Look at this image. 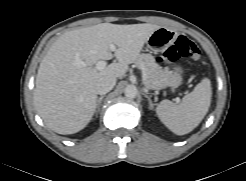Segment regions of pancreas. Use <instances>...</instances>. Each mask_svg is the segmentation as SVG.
<instances>
[{"label": "pancreas", "mask_w": 246, "mask_h": 181, "mask_svg": "<svg viewBox=\"0 0 246 181\" xmlns=\"http://www.w3.org/2000/svg\"><path fill=\"white\" fill-rule=\"evenodd\" d=\"M134 64L141 69L143 83L149 89H161L171 77V71L159 66L151 54H140Z\"/></svg>", "instance_id": "cf45deb5"}]
</instances>
